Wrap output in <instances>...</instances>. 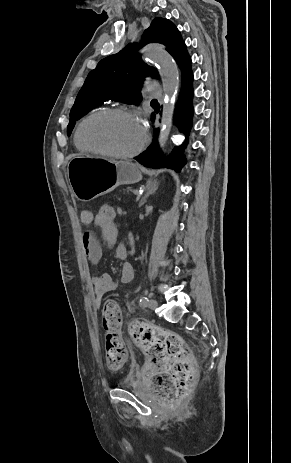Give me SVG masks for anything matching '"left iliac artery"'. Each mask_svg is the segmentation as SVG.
<instances>
[{
    "mask_svg": "<svg viewBox=\"0 0 291 463\" xmlns=\"http://www.w3.org/2000/svg\"><path fill=\"white\" fill-rule=\"evenodd\" d=\"M148 302H149V300H148V298L146 296L141 297V299H140L141 306L146 307L148 305Z\"/></svg>",
    "mask_w": 291,
    "mask_h": 463,
    "instance_id": "1",
    "label": "left iliac artery"
}]
</instances>
